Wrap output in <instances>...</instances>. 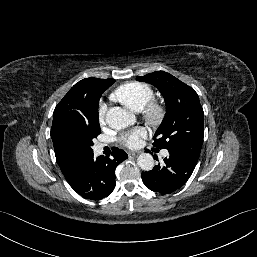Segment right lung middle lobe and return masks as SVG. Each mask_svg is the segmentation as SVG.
Masks as SVG:
<instances>
[{"label": "right lung middle lobe", "mask_w": 257, "mask_h": 257, "mask_svg": "<svg viewBox=\"0 0 257 257\" xmlns=\"http://www.w3.org/2000/svg\"><path fill=\"white\" fill-rule=\"evenodd\" d=\"M108 88L96 87L82 91L74 98L73 105L80 110L83 120L80 124L67 128L63 132V139L74 150L90 155L93 153L91 146L93 139L101 133L98 118V102L101 94Z\"/></svg>", "instance_id": "obj_1"}]
</instances>
